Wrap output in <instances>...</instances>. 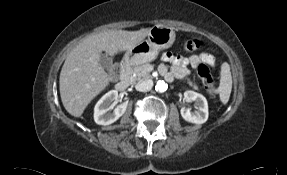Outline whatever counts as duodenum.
Here are the masks:
<instances>
[{"instance_id":"obj_1","label":"duodenum","mask_w":287,"mask_h":175,"mask_svg":"<svg viewBox=\"0 0 287 175\" xmlns=\"http://www.w3.org/2000/svg\"><path fill=\"white\" fill-rule=\"evenodd\" d=\"M131 83L130 59H125L120 65V79L116 88L120 91L126 90Z\"/></svg>"}]
</instances>
